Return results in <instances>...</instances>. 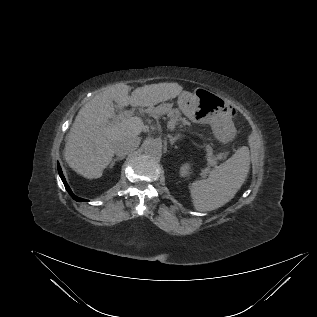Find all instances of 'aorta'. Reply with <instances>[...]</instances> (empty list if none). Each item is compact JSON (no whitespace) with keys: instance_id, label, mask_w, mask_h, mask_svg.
<instances>
[{"instance_id":"762f6f07","label":"aorta","mask_w":317,"mask_h":317,"mask_svg":"<svg viewBox=\"0 0 317 317\" xmlns=\"http://www.w3.org/2000/svg\"><path fill=\"white\" fill-rule=\"evenodd\" d=\"M145 153L152 157H159L162 153V144L156 139H149L144 143Z\"/></svg>"}]
</instances>
